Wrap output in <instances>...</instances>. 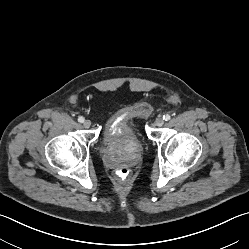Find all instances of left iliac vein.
Returning a JSON list of instances; mask_svg holds the SVG:
<instances>
[{
    "label": "left iliac vein",
    "instance_id": "left-iliac-vein-1",
    "mask_svg": "<svg viewBox=\"0 0 249 249\" xmlns=\"http://www.w3.org/2000/svg\"><path fill=\"white\" fill-rule=\"evenodd\" d=\"M164 124V120L162 118H157L155 120V125L161 127Z\"/></svg>",
    "mask_w": 249,
    "mask_h": 249
}]
</instances>
